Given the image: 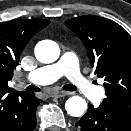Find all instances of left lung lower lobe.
<instances>
[{"label":"left lung lower lobe","instance_id":"0a47b994","mask_svg":"<svg viewBox=\"0 0 131 131\" xmlns=\"http://www.w3.org/2000/svg\"><path fill=\"white\" fill-rule=\"evenodd\" d=\"M79 131H131V122L112 109L88 106L87 113L76 123Z\"/></svg>","mask_w":131,"mask_h":131}]
</instances>
